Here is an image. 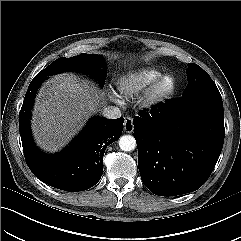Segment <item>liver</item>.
<instances>
[{
    "label": "liver",
    "instance_id": "obj_1",
    "mask_svg": "<svg viewBox=\"0 0 241 241\" xmlns=\"http://www.w3.org/2000/svg\"><path fill=\"white\" fill-rule=\"evenodd\" d=\"M104 96V91L76 76L50 78L37 94L32 115L37 145L48 152L61 149L105 105Z\"/></svg>",
    "mask_w": 241,
    "mask_h": 241
}]
</instances>
